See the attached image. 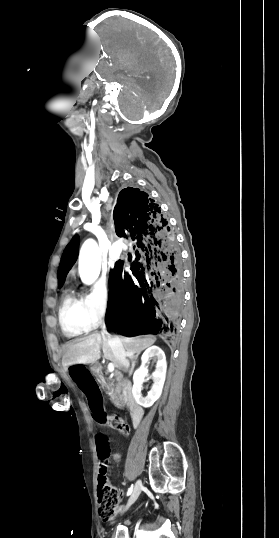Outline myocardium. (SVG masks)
Masks as SVG:
<instances>
[{
  "mask_svg": "<svg viewBox=\"0 0 279 538\" xmlns=\"http://www.w3.org/2000/svg\"><path fill=\"white\" fill-rule=\"evenodd\" d=\"M68 208H71V207H68ZM98 220H99V217L97 216V217L95 218V222H94V223H91V224H90V223H85L84 228H86V227H88V226H93V227H94V226L96 225V223L98 222ZM134 237H135L134 233H133V232H130L129 235H128V237H127V239H128L129 241H133Z\"/></svg>",
  "mask_w": 279,
  "mask_h": 538,
  "instance_id": "myocardium-1",
  "label": "myocardium"
}]
</instances>
